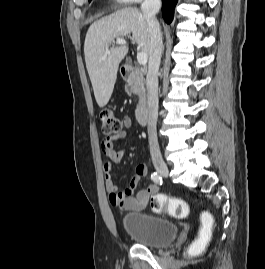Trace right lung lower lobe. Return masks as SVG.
Segmentation results:
<instances>
[{
	"label": "right lung lower lobe",
	"instance_id": "right-lung-lower-lobe-1",
	"mask_svg": "<svg viewBox=\"0 0 265 269\" xmlns=\"http://www.w3.org/2000/svg\"><path fill=\"white\" fill-rule=\"evenodd\" d=\"M178 0H162V16L166 23L173 20L174 9Z\"/></svg>",
	"mask_w": 265,
	"mask_h": 269
}]
</instances>
